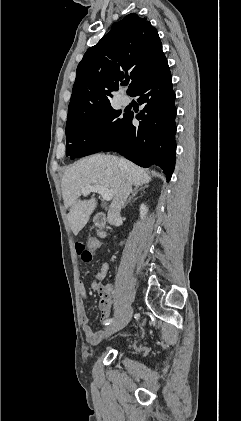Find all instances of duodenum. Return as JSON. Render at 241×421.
<instances>
[{
  "label": "duodenum",
  "instance_id": "duodenum-1",
  "mask_svg": "<svg viewBox=\"0 0 241 421\" xmlns=\"http://www.w3.org/2000/svg\"><path fill=\"white\" fill-rule=\"evenodd\" d=\"M94 221H95V224H96L99 228H102V227H104V226H105V224H106V222H107V219H106L105 214H103V213H97V214L95 215ZM100 234H101V235H103V233H102V232H101Z\"/></svg>",
  "mask_w": 241,
  "mask_h": 421
}]
</instances>
